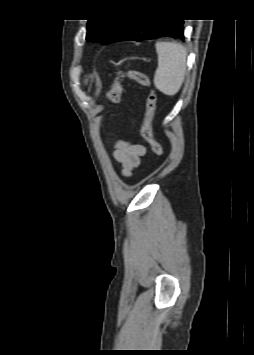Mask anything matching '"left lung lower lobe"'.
Listing matches in <instances>:
<instances>
[{"mask_svg":"<svg viewBox=\"0 0 254 355\" xmlns=\"http://www.w3.org/2000/svg\"><path fill=\"white\" fill-rule=\"evenodd\" d=\"M183 20L133 18L116 41H144L159 37L184 39Z\"/></svg>","mask_w":254,"mask_h":355,"instance_id":"0a47b994","label":"left lung lower lobe"}]
</instances>
